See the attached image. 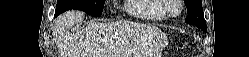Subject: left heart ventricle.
Here are the masks:
<instances>
[{"instance_id": "b2bd125f", "label": "left heart ventricle", "mask_w": 249, "mask_h": 57, "mask_svg": "<svg viewBox=\"0 0 249 57\" xmlns=\"http://www.w3.org/2000/svg\"><path fill=\"white\" fill-rule=\"evenodd\" d=\"M177 11V8H173L172 12L175 13Z\"/></svg>"}]
</instances>
